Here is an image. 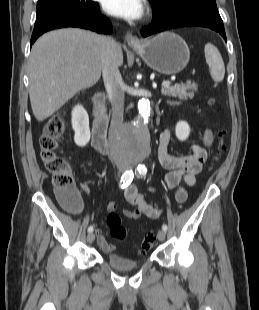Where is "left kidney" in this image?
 <instances>
[{
	"label": "left kidney",
	"instance_id": "5707ae66",
	"mask_svg": "<svg viewBox=\"0 0 259 310\" xmlns=\"http://www.w3.org/2000/svg\"><path fill=\"white\" fill-rule=\"evenodd\" d=\"M175 134L180 141H185L190 134L188 123L185 121H179L175 127Z\"/></svg>",
	"mask_w": 259,
	"mask_h": 310
}]
</instances>
